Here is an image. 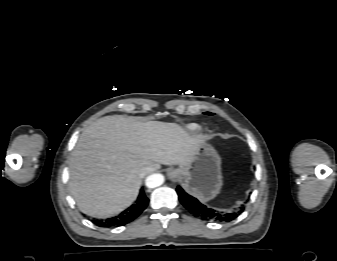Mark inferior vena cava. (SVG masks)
<instances>
[{
	"label": "inferior vena cava",
	"instance_id": "inferior-vena-cava-1",
	"mask_svg": "<svg viewBox=\"0 0 337 261\" xmlns=\"http://www.w3.org/2000/svg\"><path fill=\"white\" fill-rule=\"evenodd\" d=\"M152 171V168L150 167H147L144 169V171L141 173V176L144 177L147 173L151 172Z\"/></svg>",
	"mask_w": 337,
	"mask_h": 261
}]
</instances>
